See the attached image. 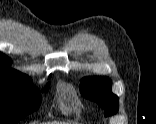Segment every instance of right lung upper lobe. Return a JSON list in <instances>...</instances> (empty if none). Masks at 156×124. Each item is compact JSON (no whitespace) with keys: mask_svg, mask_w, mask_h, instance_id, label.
Listing matches in <instances>:
<instances>
[{"mask_svg":"<svg viewBox=\"0 0 156 124\" xmlns=\"http://www.w3.org/2000/svg\"><path fill=\"white\" fill-rule=\"evenodd\" d=\"M10 62L11 61L7 56L0 53V76L30 79V77H28L27 75L22 74L16 70L10 69L8 66H6V64H9Z\"/></svg>","mask_w":156,"mask_h":124,"instance_id":"cb5924a9","label":"right lung upper lobe"}]
</instances>
